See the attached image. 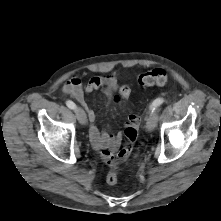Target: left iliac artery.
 I'll return each instance as SVG.
<instances>
[{"label":"left iliac artery","mask_w":221,"mask_h":221,"mask_svg":"<svg viewBox=\"0 0 221 221\" xmlns=\"http://www.w3.org/2000/svg\"><path fill=\"white\" fill-rule=\"evenodd\" d=\"M164 99L163 98H157L156 100L153 101L152 106H151V110L152 112L161 104H163Z\"/></svg>","instance_id":"1"}]
</instances>
